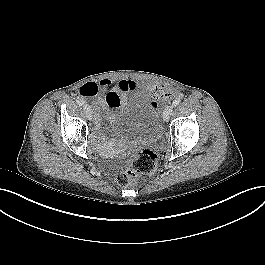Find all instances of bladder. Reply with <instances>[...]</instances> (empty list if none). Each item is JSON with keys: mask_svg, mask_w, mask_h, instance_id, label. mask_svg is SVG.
<instances>
[{"mask_svg": "<svg viewBox=\"0 0 265 265\" xmlns=\"http://www.w3.org/2000/svg\"><path fill=\"white\" fill-rule=\"evenodd\" d=\"M118 126L123 134L132 138H149L159 133L160 114L150 94L141 85L132 87L125 94Z\"/></svg>", "mask_w": 265, "mask_h": 265, "instance_id": "1", "label": "bladder"}]
</instances>
